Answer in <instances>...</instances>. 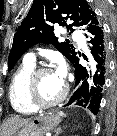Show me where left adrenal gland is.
<instances>
[{"mask_svg": "<svg viewBox=\"0 0 117 136\" xmlns=\"http://www.w3.org/2000/svg\"><path fill=\"white\" fill-rule=\"evenodd\" d=\"M62 133V129L60 127L55 129V136H59Z\"/></svg>", "mask_w": 117, "mask_h": 136, "instance_id": "a2214340", "label": "left adrenal gland"}]
</instances>
